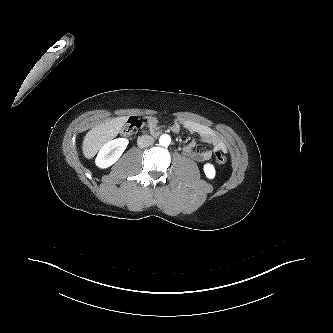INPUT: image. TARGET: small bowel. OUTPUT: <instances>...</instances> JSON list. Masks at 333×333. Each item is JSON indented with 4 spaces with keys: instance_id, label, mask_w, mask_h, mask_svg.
<instances>
[{
    "instance_id": "small-bowel-1",
    "label": "small bowel",
    "mask_w": 333,
    "mask_h": 333,
    "mask_svg": "<svg viewBox=\"0 0 333 333\" xmlns=\"http://www.w3.org/2000/svg\"><path fill=\"white\" fill-rule=\"evenodd\" d=\"M147 131L151 133H158L161 129L158 119L154 116L147 118ZM179 128H184L196 135L208 144L212 145L211 150H197L196 142L192 140L184 147V153L191 159L197 162H203L209 160L216 151H226V145L224 141L218 136V134L210 127L192 121L188 119H177L172 125L173 130H178Z\"/></svg>"
}]
</instances>
